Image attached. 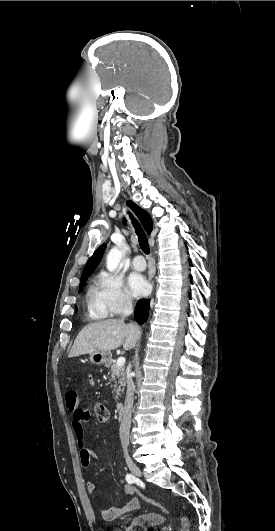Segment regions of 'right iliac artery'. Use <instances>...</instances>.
<instances>
[{
    "mask_svg": "<svg viewBox=\"0 0 275 531\" xmlns=\"http://www.w3.org/2000/svg\"><path fill=\"white\" fill-rule=\"evenodd\" d=\"M135 477L132 475V474H127L126 475V481L129 483V484H132L135 482Z\"/></svg>",
    "mask_w": 275,
    "mask_h": 531,
    "instance_id": "obj_1",
    "label": "right iliac artery"
}]
</instances>
